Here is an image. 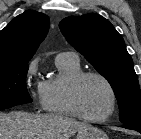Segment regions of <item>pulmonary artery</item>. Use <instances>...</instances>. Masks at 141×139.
<instances>
[{"label": "pulmonary artery", "mask_w": 141, "mask_h": 139, "mask_svg": "<svg viewBox=\"0 0 141 139\" xmlns=\"http://www.w3.org/2000/svg\"><path fill=\"white\" fill-rule=\"evenodd\" d=\"M66 59H69V60H78V56L74 52H62V53H59L56 56V61L66 60Z\"/></svg>", "instance_id": "e3ab8cb5"}]
</instances>
